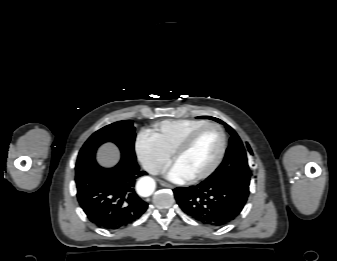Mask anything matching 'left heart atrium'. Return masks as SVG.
<instances>
[{"label":"left heart atrium","instance_id":"obj_1","mask_svg":"<svg viewBox=\"0 0 337 261\" xmlns=\"http://www.w3.org/2000/svg\"><path fill=\"white\" fill-rule=\"evenodd\" d=\"M164 173L169 180L177 183L185 182L190 178L176 163L168 166Z\"/></svg>","mask_w":337,"mask_h":261}]
</instances>
